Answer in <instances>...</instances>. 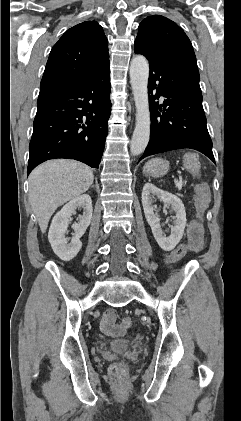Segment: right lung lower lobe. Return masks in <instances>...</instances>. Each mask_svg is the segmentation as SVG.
Returning <instances> with one entry per match:
<instances>
[{
  "label": "right lung lower lobe",
  "mask_w": 241,
  "mask_h": 421,
  "mask_svg": "<svg viewBox=\"0 0 241 421\" xmlns=\"http://www.w3.org/2000/svg\"><path fill=\"white\" fill-rule=\"evenodd\" d=\"M110 87L108 65L90 77L40 90L27 174L55 158L98 168L111 111Z\"/></svg>",
  "instance_id": "98d812e1"
}]
</instances>
